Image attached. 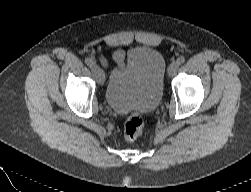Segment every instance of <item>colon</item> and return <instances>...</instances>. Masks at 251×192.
I'll list each match as a JSON object with an SVG mask.
<instances>
[{"instance_id":"1","label":"colon","mask_w":251,"mask_h":192,"mask_svg":"<svg viewBox=\"0 0 251 192\" xmlns=\"http://www.w3.org/2000/svg\"><path fill=\"white\" fill-rule=\"evenodd\" d=\"M144 121L139 113L132 114L125 122L124 136L127 141H135L143 132Z\"/></svg>"}]
</instances>
